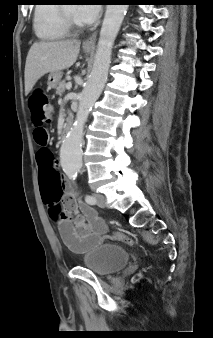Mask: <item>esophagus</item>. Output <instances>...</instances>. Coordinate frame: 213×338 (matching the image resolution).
I'll list each match as a JSON object with an SVG mask.
<instances>
[{"label": "esophagus", "instance_id": "1", "mask_svg": "<svg viewBox=\"0 0 213 338\" xmlns=\"http://www.w3.org/2000/svg\"><path fill=\"white\" fill-rule=\"evenodd\" d=\"M96 33L92 34L89 38H87L84 42H83V46L85 47H94L96 44Z\"/></svg>", "mask_w": 213, "mask_h": 338}]
</instances>
